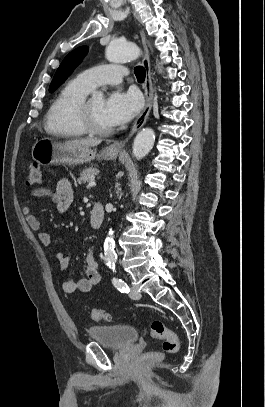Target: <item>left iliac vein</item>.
Returning a JSON list of instances; mask_svg holds the SVG:
<instances>
[{
  "mask_svg": "<svg viewBox=\"0 0 265 407\" xmlns=\"http://www.w3.org/2000/svg\"><path fill=\"white\" fill-rule=\"evenodd\" d=\"M130 298L138 300L141 298L140 292L135 288L131 287V292L129 293Z\"/></svg>",
  "mask_w": 265,
  "mask_h": 407,
  "instance_id": "left-iliac-vein-1",
  "label": "left iliac vein"
}]
</instances>
